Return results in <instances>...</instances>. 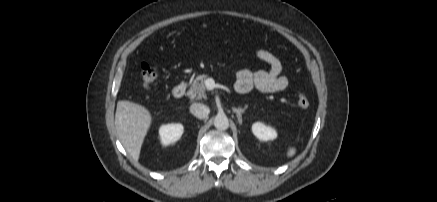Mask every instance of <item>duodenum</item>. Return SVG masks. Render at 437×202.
<instances>
[{
	"instance_id": "obj_1",
	"label": "duodenum",
	"mask_w": 437,
	"mask_h": 202,
	"mask_svg": "<svg viewBox=\"0 0 437 202\" xmlns=\"http://www.w3.org/2000/svg\"><path fill=\"white\" fill-rule=\"evenodd\" d=\"M186 92V85L184 83H179L172 89V94L175 98H182Z\"/></svg>"
}]
</instances>
